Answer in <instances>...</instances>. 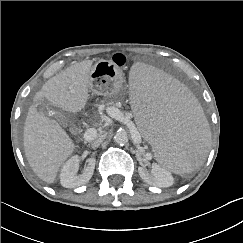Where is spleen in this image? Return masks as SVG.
<instances>
[{
  "label": "spleen",
  "mask_w": 243,
  "mask_h": 243,
  "mask_svg": "<svg viewBox=\"0 0 243 243\" xmlns=\"http://www.w3.org/2000/svg\"><path fill=\"white\" fill-rule=\"evenodd\" d=\"M135 121L159 163L172 172L198 168L210 138L195 97L180 81L136 61L125 72Z\"/></svg>",
  "instance_id": "1"
}]
</instances>
